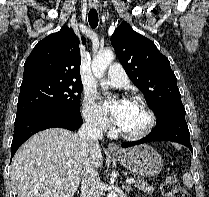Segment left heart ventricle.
I'll use <instances>...</instances> for the list:
<instances>
[{"mask_svg":"<svg viewBox=\"0 0 209 197\" xmlns=\"http://www.w3.org/2000/svg\"><path fill=\"white\" fill-rule=\"evenodd\" d=\"M147 122L148 116L144 108L140 103L132 101L130 110L119 127L126 132L135 133L142 130Z\"/></svg>","mask_w":209,"mask_h":197,"instance_id":"obj_1","label":"left heart ventricle"}]
</instances>
